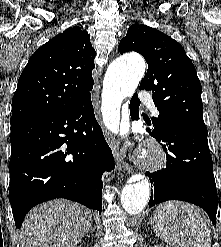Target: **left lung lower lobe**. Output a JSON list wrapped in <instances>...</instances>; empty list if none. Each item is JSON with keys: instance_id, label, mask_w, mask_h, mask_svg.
Instances as JSON below:
<instances>
[{"instance_id": "1", "label": "left lung lower lobe", "mask_w": 221, "mask_h": 247, "mask_svg": "<svg viewBox=\"0 0 221 247\" xmlns=\"http://www.w3.org/2000/svg\"><path fill=\"white\" fill-rule=\"evenodd\" d=\"M139 105L136 93L130 101L132 120L139 119ZM145 121L151 125L150 121ZM147 131L166 142L164 147L170 151L165 169L147 172L151 185L154 184L149 207L168 200L191 202L202 207L215 225L218 200L207 128L166 123L161 127L153 125Z\"/></svg>"}]
</instances>
